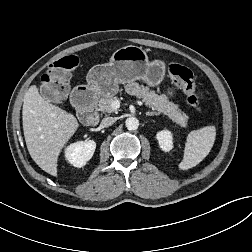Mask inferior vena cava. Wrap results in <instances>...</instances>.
<instances>
[{
  "instance_id": "obj_1",
  "label": "inferior vena cava",
  "mask_w": 252,
  "mask_h": 252,
  "mask_svg": "<svg viewBox=\"0 0 252 252\" xmlns=\"http://www.w3.org/2000/svg\"><path fill=\"white\" fill-rule=\"evenodd\" d=\"M115 122V118L113 117H106V118H103L101 123H100V126L102 128H105V127H109L111 125H113Z\"/></svg>"
}]
</instances>
